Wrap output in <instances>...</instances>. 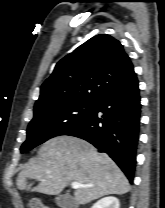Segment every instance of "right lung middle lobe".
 I'll return each mask as SVG.
<instances>
[{
    "instance_id": "dd1d6c3e",
    "label": "right lung middle lobe",
    "mask_w": 165,
    "mask_h": 208,
    "mask_svg": "<svg viewBox=\"0 0 165 208\" xmlns=\"http://www.w3.org/2000/svg\"><path fill=\"white\" fill-rule=\"evenodd\" d=\"M96 104L97 101H68L34 110V118L28 125L27 140L21 146V152L73 131L91 115Z\"/></svg>"
}]
</instances>
